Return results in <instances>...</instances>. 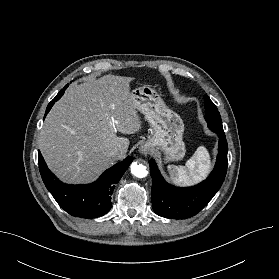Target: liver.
Masks as SVG:
<instances>
[{"label":"liver","mask_w":279,"mask_h":279,"mask_svg":"<svg viewBox=\"0 0 279 279\" xmlns=\"http://www.w3.org/2000/svg\"><path fill=\"white\" fill-rule=\"evenodd\" d=\"M132 80L109 74L74 84L54 104L38 143L48 167L63 182L94 181L125 156L130 141L116 132L133 134L142 128ZM115 148L122 154L112 157L109 152Z\"/></svg>","instance_id":"1"}]
</instances>
